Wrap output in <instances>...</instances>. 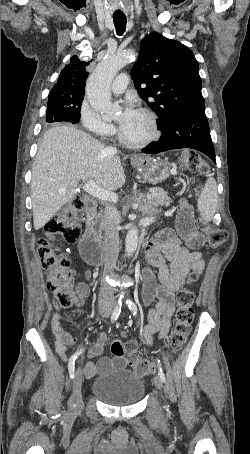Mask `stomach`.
Returning <instances> with one entry per match:
<instances>
[{"label": "stomach", "instance_id": "stomach-1", "mask_svg": "<svg viewBox=\"0 0 250 454\" xmlns=\"http://www.w3.org/2000/svg\"><path fill=\"white\" fill-rule=\"evenodd\" d=\"M131 163L152 184L163 181L172 172V165L167 159L155 160L150 156L139 155Z\"/></svg>", "mask_w": 250, "mask_h": 454}]
</instances>
